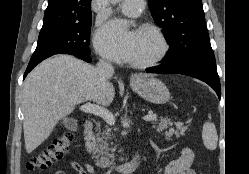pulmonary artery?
<instances>
[{
    "mask_svg": "<svg viewBox=\"0 0 249 174\" xmlns=\"http://www.w3.org/2000/svg\"><path fill=\"white\" fill-rule=\"evenodd\" d=\"M144 7V0H123L120 10L128 16H138Z\"/></svg>",
    "mask_w": 249,
    "mask_h": 174,
    "instance_id": "1",
    "label": "pulmonary artery"
}]
</instances>
